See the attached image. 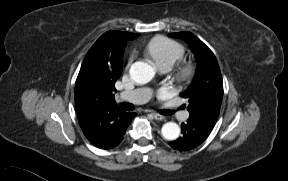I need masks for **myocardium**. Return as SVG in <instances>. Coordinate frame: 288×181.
<instances>
[{
    "label": "myocardium",
    "mask_w": 288,
    "mask_h": 181,
    "mask_svg": "<svg viewBox=\"0 0 288 181\" xmlns=\"http://www.w3.org/2000/svg\"><path fill=\"white\" fill-rule=\"evenodd\" d=\"M196 72L194 64L186 62L181 64L176 71V77L180 82H188L193 79Z\"/></svg>",
    "instance_id": "myocardium-1"
}]
</instances>
